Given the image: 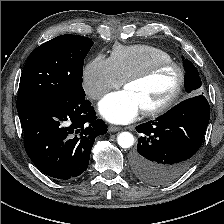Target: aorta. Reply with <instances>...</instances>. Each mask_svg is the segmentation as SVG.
I'll return each mask as SVG.
<instances>
[{
	"label": "aorta",
	"mask_w": 224,
	"mask_h": 224,
	"mask_svg": "<svg viewBox=\"0 0 224 224\" xmlns=\"http://www.w3.org/2000/svg\"><path fill=\"white\" fill-rule=\"evenodd\" d=\"M118 144L122 148H130L134 144V137L129 132H121L117 137Z\"/></svg>",
	"instance_id": "762f6f07"
}]
</instances>
